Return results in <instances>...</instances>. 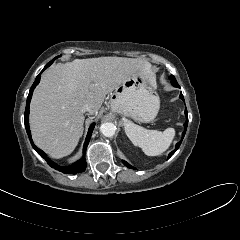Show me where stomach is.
Listing matches in <instances>:
<instances>
[{
    "label": "stomach",
    "instance_id": "1",
    "mask_svg": "<svg viewBox=\"0 0 240 240\" xmlns=\"http://www.w3.org/2000/svg\"><path fill=\"white\" fill-rule=\"evenodd\" d=\"M110 102L113 112L148 123L154 120L160 108L156 81L150 75L136 71L111 93Z\"/></svg>",
    "mask_w": 240,
    "mask_h": 240
}]
</instances>
